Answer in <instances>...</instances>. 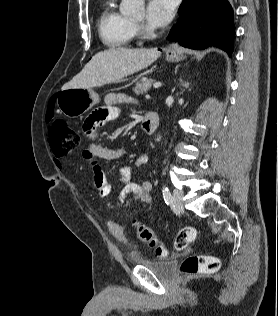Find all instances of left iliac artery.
I'll return each instance as SVG.
<instances>
[{
	"label": "left iliac artery",
	"instance_id": "obj_1",
	"mask_svg": "<svg viewBox=\"0 0 278 316\" xmlns=\"http://www.w3.org/2000/svg\"><path fill=\"white\" fill-rule=\"evenodd\" d=\"M162 194H163V198L164 201L167 205H173V196L171 195L169 189L167 186L163 185L162 187Z\"/></svg>",
	"mask_w": 278,
	"mask_h": 316
}]
</instances>
